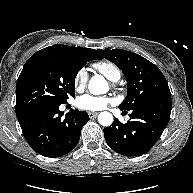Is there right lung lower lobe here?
<instances>
[{"instance_id":"1","label":"right lung lower lobe","mask_w":193,"mask_h":193,"mask_svg":"<svg viewBox=\"0 0 193 193\" xmlns=\"http://www.w3.org/2000/svg\"><path fill=\"white\" fill-rule=\"evenodd\" d=\"M59 105L46 103L17 116L28 144L45 157H59L72 151L89 120L85 111L78 110H71L63 117Z\"/></svg>"}]
</instances>
